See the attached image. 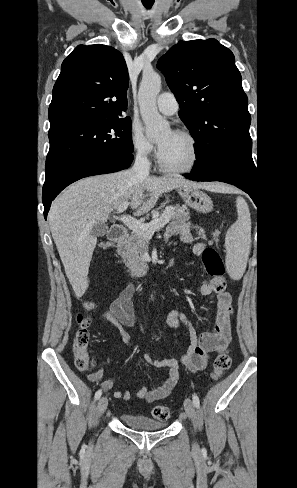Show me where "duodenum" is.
Wrapping results in <instances>:
<instances>
[{"label": "duodenum", "mask_w": 297, "mask_h": 488, "mask_svg": "<svg viewBox=\"0 0 297 488\" xmlns=\"http://www.w3.org/2000/svg\"><path fill=\"white\" fill-rule=\"evenodd\" d=\"M126 236L127 230L123 226L118 224L112 225L108 234L109 240L119 244L124 242ZM147 272L148 266H142L136 269L128 270L129 275L134 278L143 277L147 274Z\"/></svg>", "instance_id": "obj_1"}]
</instances>
